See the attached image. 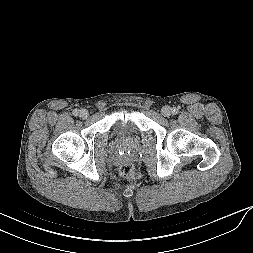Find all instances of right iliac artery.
I'll list each match as a JSON object with an SVG mask.
<instances>
[{"label":"right iliac artery","instance_id":"right-iliac-artery-1","mask_svg":"<svg viewBox=\"0 0 253 253\" xmlns=\"http://www.w3.org/2000/svg\"><path fill=\"white\" fill-rule=\"evenodd\" d=\"M78 114H79V110L74 109V110H73V115H74V116H77Z\"/></svg>","mask_w":253,"mask_h":253}]
</instances>
